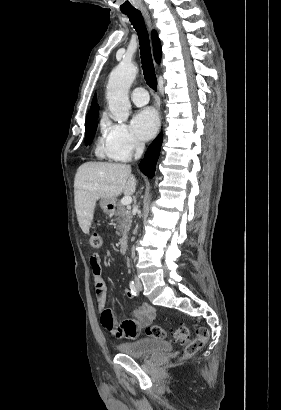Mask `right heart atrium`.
Returning a JSON list of instances; mask_svg holds the SVG:
<instances>
[{
  "mask_svg": "<svg viewBox=\"0 0 281 410\" xmlns=\"http://www.w3.org/2000/svg\"><path fill=\"white\" fill-rule=\"evenodd\" d=\"M104 122V132L108 145L117 159L121 161L128 160L142 150L143 143L126 124Z\"/></svg>",
  "mask_w": 281,
  "mask_h": 410,
  "instance_id": "1",
  "label": "right heart atrium"
}]
</instances>
